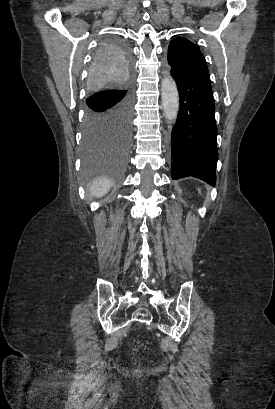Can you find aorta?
Listing matches in <instances>:
<instances>
[{
	"mask_svg": "<svg viewBox=\"0 0 275 409\" xmlns=\"http://www.w3.org/2000/svg\"><path fill=\"white\" fill-rule=\"evenodd\" d=\"M161 98L163 110L168 120H175L179 110V94L172 76H164L161 82Z\"/></svg>",
	"mask_w": 275,
	"mask_h": 409,
	"instance_id": "obj_1",
	"label": "aorta"
}]
</instances>
